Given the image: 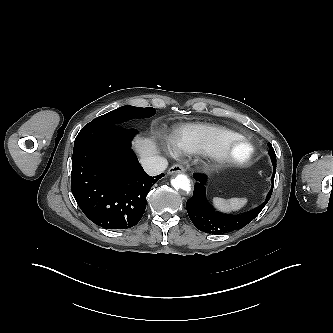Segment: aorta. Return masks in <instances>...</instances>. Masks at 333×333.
<instances>
[{"label":"aorta","instance_id":"aorta-1","mask_svg":"<svg viewBox=\"0 0 333 333\" xmlns=\"http://www.w3.org/2000/svg\"><path fill=\"white\" fill-rule=\"evenodd\" d=\"M171 185L176 190L181 189L186 192H189L191 190L190 179L184 174H179L176 177L172 178Z\"/></svg>","mask_w":333,"mask_h":333}]
</instances>
